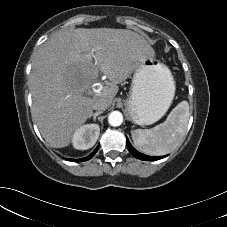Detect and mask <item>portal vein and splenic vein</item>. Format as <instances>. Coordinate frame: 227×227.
<instances>
[{"mask_svg": "<svg viewBox=\"0 0 227 227\" xmlns=\"http://www.w3.org/2000/svg\"><path fill=\"white\" fill-rule=\"evenodd\" d=\"M93 53L89 54L88 56L90 57Z\"/></svg>", "mask_w": 227, "mask_h": 227, "instance_id": "portal-vein-and-splenic-vein-1", "label": "portal vein and splenic vein"}]
</instances>
